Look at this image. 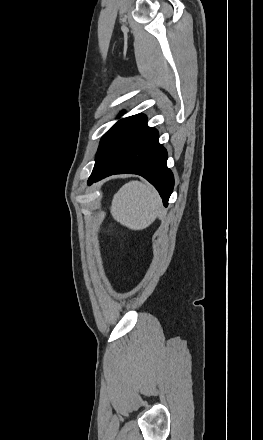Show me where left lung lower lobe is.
<instances>
[{"label":"left lung lower lobe","mask_w":263,"mask_h":440,"mask_svg":"<svg viewBox=\"0 0 263 440\" xmlns=\"http://www.w3.org/2000/svg\"><path fill=\"white\" fill-rule=\"evenodd\" d=\"M158 138L157 130L147 126L146 116L135 115L107 164L101 171L92 172L88 185L112 174H138L155 186L167 206L174 178L167 168V151Z\"/></svg>","instance_id":"obj_1"}]
</instances>
